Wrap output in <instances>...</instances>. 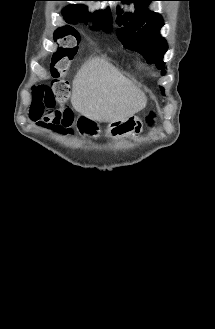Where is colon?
Segmentation results:
<instances>
[{"label": "colon", "mask_w": 215, "mask_h": 329, "mask_svg": "<svg viewBox=\"0 0 215 329\" xmlns=\"http://www.w3.org/2000/svg\"><path fill=\"white\" fill-rule=\"evenodd\" d=\"M76 25H62L54 31L57 50L52 57L48 72L52 75V84L48 81H37L33 86L31 114H70L68 101V83L65 80L67 69L74 57L75 49L83 44L81 32ZM155 122L153 113L149 114L146 123L152 126Z\"/></svg>", "instance_id": "obj_1"}]
</instances>
